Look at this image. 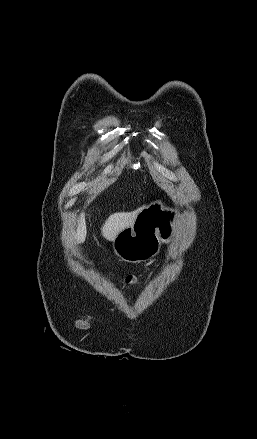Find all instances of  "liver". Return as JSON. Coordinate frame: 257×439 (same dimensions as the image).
I'll list each match as a JSON object with an SVG mask.
<instances>
[{"instance_id": "1", "label": "liver", "mask_w": 257, "mask_h": 439, "mask_svg": "<svg viewBox=\"0 0 257 439\" xmlns=\"http://www.w3.org/2000/svg\"><path fill=\"white\" fill-rule=\"evenodd\" d=\"M144 208V206L136 209L132 212H120L114 213L108 217L105 221V224L102 227V235L109 241H113L116 236L126 227L131 226L139 212ZM86 237V225L85 220L82 217L79 221V226L77 229V233L75 235V239L78 243L83 242Z\"/></svg>"}]
</instances>
